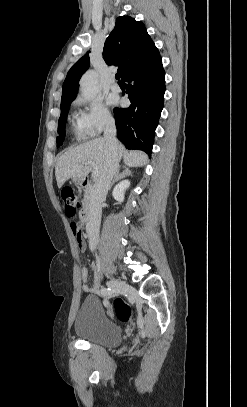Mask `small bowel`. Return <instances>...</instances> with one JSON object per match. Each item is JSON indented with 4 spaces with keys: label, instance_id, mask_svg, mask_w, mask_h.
I'll use <instances>...</instances> for the list:
<instances>
[{
    "label": "small bowel",
    "instance_id": "1",
    "mask_svg": "<svg viewBox=\"0 0 247 407\" xmlns=\"http://www.w3.org/2000/svg\"><path fill=\"white\" fill-rule=\"evenodd\" d=\"M77 244L79 249L82 252L86 251V243L84 241L83 235L81 233V231L79 232V234H77ZM81 275H82V282H83V289L86 292H97L98 290V283L96 282L93 286L89 285L88 283V269L84 266L81 269Z\"/></svg>",
    "mask_w": 247,
    "mask_h": 407
}]
</instances>
